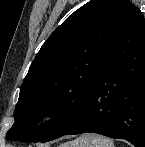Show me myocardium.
I'll use <instances>...</instances> for the list:
<instances>
[{"label":"myocardium","mask_w":145,"mask_h":147,"mask_svg":"<svg viewBox=\"0 0 145 147\" xmlns=\"http://www.w3.org/2000/svg\"><path fill=\"white\" fill-rule=\"evenodd\" d=\"M57 116V112L53 110L46 111L42 113L39 117V121L41 122H50L54 120Z\"/></svg>","instance_id":"f54148a6"}]
</instances>
